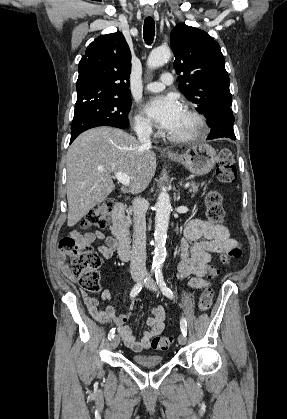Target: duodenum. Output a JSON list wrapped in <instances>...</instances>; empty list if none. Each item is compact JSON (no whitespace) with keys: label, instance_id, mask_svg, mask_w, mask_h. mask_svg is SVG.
I'll return each instance as SVG.
<instances>
[{"label":"duodenum","instance_id":"duodenum-1","mask_svg":"<svg viewBox=\"0 0 287 419\" xmlns=\"http://www.w3.org/2000/svg\"><path fill=\"white\" fill-rule=\"evenodd\" d=\"M125 210L126 205L123 202H118L114 205L112 211L111 230L114 237L119 243L118 254L122 260H129L131 257V248L129 241V234L125 226Z\"/></svg>","mask_w":287,"mask_h":419}]
</instances>
